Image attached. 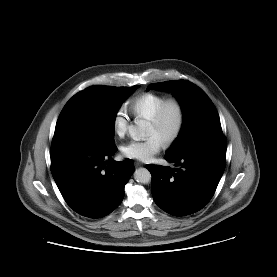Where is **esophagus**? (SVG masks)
Wrapping results in <instances>:
<instances>
[{"instance_id":"1","label":"esophagus","mask_w":277,"mask_h":277,"mask_svg":"<svg viewBox=\"0 0 277 277\" xmlns=\"http://www.w3.org/2000/svg\"><path fill=\"white\" fill-rule=\"evenodd\" d=\"M135 165L137 166V167H139V166H142L143 164L141 163V162H135Z\"/></svg>"}]
</instances>
